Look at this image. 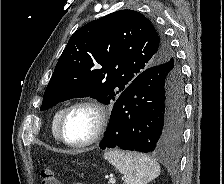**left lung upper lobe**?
Instances as JSON below:
<instances>
[{
  "label": "left lung upper lobe",
  "mask_w": 224,
  "mask_h": 184,
  "mask_svg": "<svg viewBox=\"0 0 224 184\" xmlns=\"http://www.w3.org/2000/svg\"><path fill=\"white\" fill-rule=\"evenodd\" d=\"M169 61L180 70L169 43L141 13L120 10L78 29L47 85L40 110L78 97L109 104L146 69Z\"/></svg>",
  "instance_id": "5c2ea615"
}]
</instances>
